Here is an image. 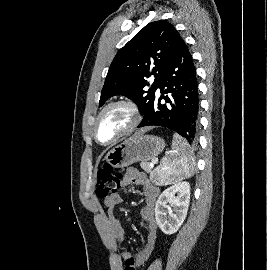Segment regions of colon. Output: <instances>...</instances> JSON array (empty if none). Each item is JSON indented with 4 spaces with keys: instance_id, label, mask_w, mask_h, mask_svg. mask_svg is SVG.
<instances>
[{
    "instance_id": "5ec220e1",
    "label": "colon",
    "mask_w": 267,
    "mask_h": 270,
    "mask_svg": "<svg viewBox=\"0 0 267 270\" xmlns=\"http://www.w3.org/2000/svg\"><path fill=\"white\" fill-rule=\"evenodd\" d=\"M121 176L106 164L97 174L96 194L101 199L114 195L120 188ZM125 270H136L135 258L129 256L125 261Z\"/></svg>"
}]
</instances>
